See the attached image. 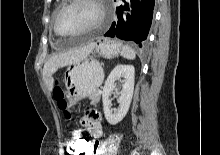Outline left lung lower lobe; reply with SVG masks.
Returning a JSON list of instances; mask_svg holds the SVG:
<instances>
[{
    "mask_svg": "<svg viewBox=\"0 0 220 155\" xmlns=\"http://www.w3.org/2000/svg\"><path fill=\"white\" fill-rule=\"evenodd\" d=\"M123 2L124 4L116 10L118 21L111 25L105 36L132 41L143 47L152 23L155 0Z\"/></svg>",
    "mask_w": 220,
    "mask_h": 155,
    "instance_id": "left-lung-lower-lobe-1",
    "label": "left lung lower lobe"
}]
</instances>
